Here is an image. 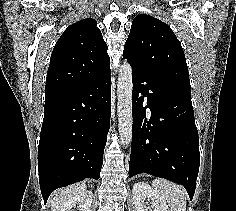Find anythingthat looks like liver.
I'll list each match as a JSON object with an SVG mask.
<instances>
[{
  "label": "liver",
  "instance_id": "6515ba94",
  "mask_svg": "<svg viewBox=\"0 0 236 211\" xmlns=\"http://www.w3.org/2000/svg\"><path fill=\"white\" fill-rule=\"evenodd\" d=\"M86 184L85 183H77L65 188L58 189L54 191L50 196V205L52 211H58L59 208L67 202L69 199L73 198L74 196L86 191Z\"/></svg>",
  "mask_w": 236,
  "mask_h": 211
}]
</instances>
